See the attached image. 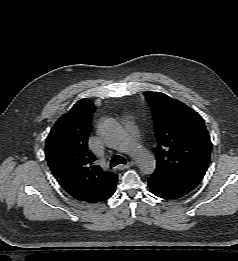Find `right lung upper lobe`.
Wrapping results in <instances>:
<instances>
[{
    "mask_svg": "<svg viewBox=\"0 0 238 261\" xmlns=\"http://www.w3.org/2000/svg\"><path fill=\"white\" fill-rule=\"evenodd\" d=\"M96 107L81 99L53 126L45 155L56 180L73 198L94 203L116 185L118 176L104 172L88 149L91 119Z\"/></svg>",
    "mask_w": 238,
    "mask_h": 261,
    "instance_id": "1",
    "label": "right lung upper lobe"
}]
</instances>
